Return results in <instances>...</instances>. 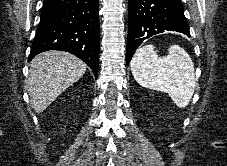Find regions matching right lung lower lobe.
<instances>
[{
	"instance_id": "right-lung-lower-lobe-1",
	"label": "right lung lower lobe",
	"mask_w": 227,
	"mask_h": 166,
	"mask_svg": "<svg viewBox=\"0 0 227 166\" xmlns=\"http://www.w3.org/2000/svg\"><path fill=\"white\" fill-rule=\"evenodd\" d=\"M98 0H44L28 61L48 50L72 53L98 75Z\"/></svg>"
}]
</instances>
